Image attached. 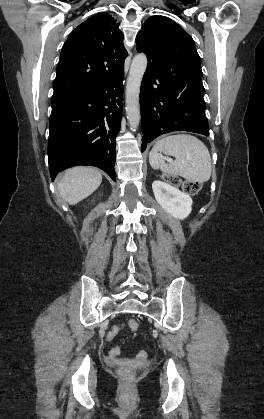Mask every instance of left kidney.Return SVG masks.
Segmentation results:
<instances>
[{"label":"left kidney","instance_id":"5707ae66","mask_svg":"<svg viewBox=\"0 0 264 419\" xmlns=\"http://www.w3.org/2000/svg\"><path fill=\"white\" fill-rule=\"evenodd\" d=\"M152 189L158 204L171 216L177 219L186 218L192 211V199L178 188L155 180Z\"/></svg>","mask_w":264,"mask_h":419}]
</instances>
